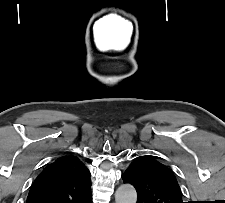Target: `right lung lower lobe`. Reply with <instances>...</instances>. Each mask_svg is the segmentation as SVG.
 I'll use <instances>...</instances> for the list:
<instances>
[{
	"label": "right lung lower lobe",
	"instance_id": "obj_1",
	"mask_svg": "<svg viewBox=\"0 0 225 203\" xmlns=\"http://www.w3.org/2000/svg\"><path fill=\"white\" fill-rule=\"evenodd\" d=\"M89 203H92V198H91V201H89Z\"/></svg>",
	"mask_w": 225,
	"mask_h": 203
}]
</instances>
